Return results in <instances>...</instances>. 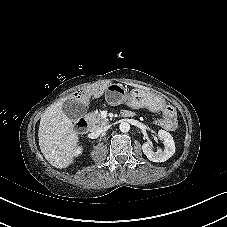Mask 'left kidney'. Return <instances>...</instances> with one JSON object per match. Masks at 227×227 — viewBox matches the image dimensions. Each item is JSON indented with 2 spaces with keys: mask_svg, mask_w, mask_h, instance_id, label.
I'll use <instances>...</instances> for the list:
<instances>
[{
  "mask_svg": "<svg viewBox=\"0 0 227 227\" xmlns=\"http://www.w3.org/2000/svg\"><path fill=\"white\" fill-rule=\"evenodd\" d=\"M158 136L163 141L164 149L157 150V152L153 151V146L151 141H147L142 145L143 153L147 156L150 161L153 162H164L168 160L175 153V143L173 137L170 133L159 130Z\"/></svg>",
  "mask_w": 227,
  "mask_h": 227,
  "instance_id": "obj_1",
  "label": "left kidney"
}]
</instances>
